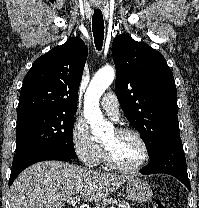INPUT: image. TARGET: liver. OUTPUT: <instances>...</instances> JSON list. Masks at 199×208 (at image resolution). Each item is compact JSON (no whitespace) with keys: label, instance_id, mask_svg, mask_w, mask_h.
<instances>
[{"label":"liver","instance_id":"obj_1","mask_svg":"<svg viewBox=\"0 0 199 208\" xmlns=\"http://www.w3.org/2000/svg\"><path fill=\"white\" fill-rule=\"evenodd\" d=\"M128 176L92 171L69 163L43 161L24 170L11 186V208H62L78 195L98 202L116 191Z\"/></svg>","mask_w":199,"mask_h":208}]
</instances>
